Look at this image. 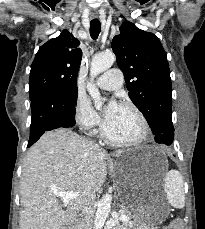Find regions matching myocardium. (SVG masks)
<instances>
[{
  "instance_id": "obj_1",
  "label": "myocardium",
  "mask_w": 205,
  "mask_h": 229,
  "mask_svg": "<svg viewBox=\"0 0 205 229\" xmlns=\"http://www.w3.org/2000/svg\"><path fill=\"white\" fill-rule=\"evenodd\" d=\"M121 105L131 109L136 114V116L138 117L140 125H141L140 134L135 139H132V140L114 139L109 135V133L106 129L105 121L102 123V126H101V134L107 143L114 145V146L132 147V146L139 145L147 138V136L149 134L148 121H147L144 113L134 103L129 102V101H124L121 103Z\"/></svg>"
}]
</instances>
